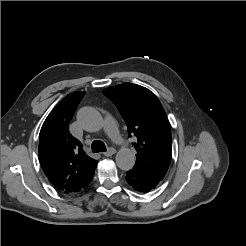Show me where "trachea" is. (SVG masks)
Returning <instances> with one entry per match:
<instances>
[{"label":"trachea","mask_w":246,"mask_h":246,"mask_svg":"<svg viewBox=\"0 0 246 246\" xmlns=\"http://www.w3.org/2000/svg\"><path fill=\"white\" fill-rule=\"evenodd\" d=\"M91 148H92V152H94V153L106 151V146H105L104 142H102L100 140L93 141Z\"/></svg>","instance_id":"obj_1"}]
</instances>
